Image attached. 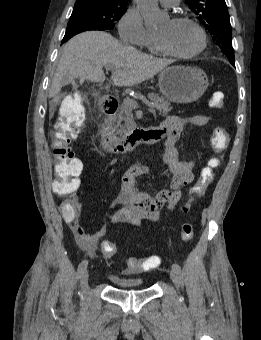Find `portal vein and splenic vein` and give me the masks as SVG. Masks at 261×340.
<instances>
[{"instance_id": "18ae733b", "label": "portal vein and splenic vein", "mask_w": 261, "mask_h": 340, "mask_svg": "<svg viewBox=\"0 0 261 340\" xmlns=\"http://www.w3.org/2000/svg\"><path fill=\"white\" fill-rule=\"evenodd\" d=\"M105 69L107 71H110V70H113V67L112 66H106ZM126 103L128 106H130L132 109H137L139 108V104L137 103V101L133 98H130V97H127L125 99ZM156 106L155 105H149L148 107V111L152 112V113H155L156 112Z\"/></svg>"}]
</instances>
